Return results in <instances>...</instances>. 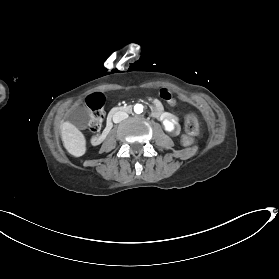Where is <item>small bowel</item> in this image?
I'll list each match as a JSON object with an SVG mask.
<instances>
[{"label": "small bowel", "instance_id": "1", "mask_svg": "<svg viewBox=\"0 0 279 279\" xmlns=\"http://www.w3.org/2000/svg\"><path fill=\"white\" fill-rule=\"evenodd\" d=\"M160 97L166 101L167 103L171 104V105H174L175 104V99L173 98L171 92L164 88L160 91ZM153 114L156 116V117H160L162 114H163V105L161 103V101L155 99L154 100V112Z\"/></svg>", "mask_w": 279, "mask_h": 279}]
</instances>
